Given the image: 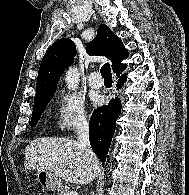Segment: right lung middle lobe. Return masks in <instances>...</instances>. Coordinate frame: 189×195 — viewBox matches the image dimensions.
<instances>
[{"mask_svg":"<svg viewBox=\"0 0 189 195\" xmlns=\"http://www.w3.org/2000/svg\"><path fill=\"white\" fill-rule=\"evenodd\" d=\"M52 97L34 103L32 118H31V122L29 123L30 126H36L39 118L41 117V114L45 110L47 104L50 102Z\"/></svg>","mask_w":189,"mask_h":195,"instance_id":"obj_1","label":"right lung middle lobe"}]
</instances>
